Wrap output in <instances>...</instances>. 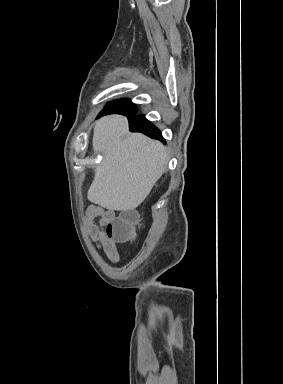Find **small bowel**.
Masks as SVG:
<instances>
[{
	"instance_id": "c3829d8e",
	"label": "small bowel",
	"mask_w": 283,
	"mask_h": 384,
	"mask_svg": "<svg viewBox=\"0 0 283 384\" xmlns=\"http://www.w3.org/2000/svg\"><path fill=\"white\" fill-rule=\"evenodd\" d=\"M116 218L111 210L100 206H90L86 212L85 225L92 241L102 248L107 258L112 263L119 261V254L116 248V241L107 233L108 225ZM98 220V223H96Z\"/></svg>"
}]
</instances>
